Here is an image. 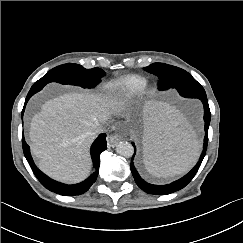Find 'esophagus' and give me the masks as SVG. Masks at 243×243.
Segmentation results:
<instances>
[{"label": "esophagus", "instance_id": "esophagus-1", "mask_svg": "<svg viewBox=\"0 0 243 243\" xmlns=\"http://www.w3.org/2000/svg\"><path fill=\"white\" fill-rule=\"evenodd\" d=\"M123 139H124L123 136H121L119 134H114V135L110 136V138H109V146L115 147Z\"/></svg>", "mask_w": 243, "mask_h": 243}]
</instances>
